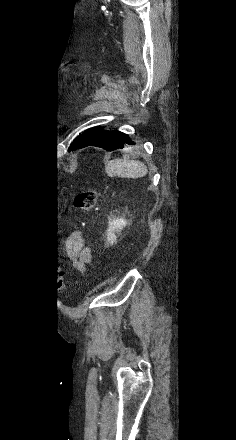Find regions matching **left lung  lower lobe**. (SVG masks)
Returning a JSON list of instances; mask_svg holds the SVG:
<instances>
[{"instance_id":"obj_1","label":"left lung lower lobe","mask_w":236,"mask_h":440,"mask_svg":"<svg viewBox=\"0 0 236 440\" xmlns=\"http://www.w3.org/2000/svg\"><path fill=\"white\" fill-rule=\"evenodd\" d=\"M126 144L133 145L127 134L120 131H105L94 127L80 134L70 145L69 150L86 146L101 147L107 151L124 148Z\"/></svg>"}]
</instances>
